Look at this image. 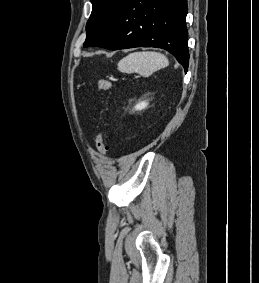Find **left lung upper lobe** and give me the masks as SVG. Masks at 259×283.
Masks as SVG:
<instances>
[{
	"instance_id": "5c2ea615",
	"label": "left lung upper lobe",
	"mask_w": 259,
	"mask_h": 283,
	"mask_svg": "<svg viewBox=\"0 0 259 283\" xmlns=\"http://www.w3.org/2000/svg\"><path fill=\"white\" fill-rule=\"evenodd\" d=\"M126 0H91L92 13L86 25L84 47L97 43L109 30Z\"/></svg>"
}]
</instances>
